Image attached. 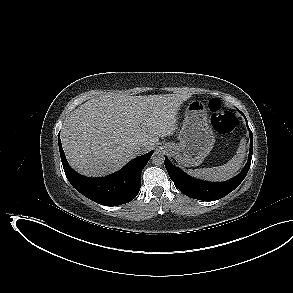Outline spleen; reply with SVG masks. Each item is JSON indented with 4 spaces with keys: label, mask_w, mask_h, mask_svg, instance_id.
I'll return each instance as SVG.
<instances>
[{
    "label": "spleen",
    "mask_w": 293,
    "mask_h": 293,
    "mask_svg": "<svg viewBox=\"0 0 293 293\" xmlns=\"http://www.w3.org/2000/svg\"><path fill=\"white\" fill-rule=\"evenodd\" d=\"M245 145L246 140L241 139L236 155L224 165L195 170L189 169L188 173L194 177L203 178L209 181H226L232 178L241 168L245 157Z\"/></svg>",
    "instance_id": "1"
}]
</instances>
